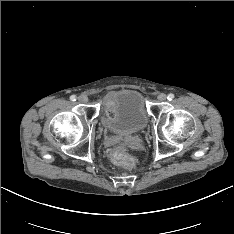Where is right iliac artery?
I'll return each instance as SVG.
<instances>
[{
	"label": "right iliac artery",
	"instance_id": "right-iliac-artery-1",
	"mask_svg": "<svg viewBox=\"0 0 234 234\" xmlns=\"http://www.w3.org/2000/svg\"><path fill=\"white\" fill-rule=\"evenodd\" d=\"M76 99H77V97H76L75 95H71V96H70V100H71V101H76Z\"/></svg>",
	"mask_w": 234,
	"mask_h": 234
}]
</instances>
